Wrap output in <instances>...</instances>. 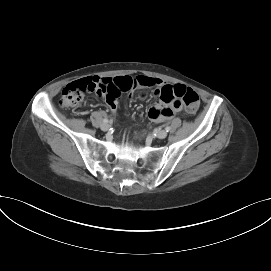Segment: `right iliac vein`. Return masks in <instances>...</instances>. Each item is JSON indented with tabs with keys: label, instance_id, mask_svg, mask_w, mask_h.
I'll use <instances>...</instances> for the list:
<instances>
[{
	"label": "right iliac vein",
	"instance_id": "obj_1",
	"mask_svg": "<svg viewBox=\"0 0 271 271\" xmlns=\"http://www.w3.org/2000/svg\"><path fill=\"white\" fill-rule=\"evenodd\" d=\"M109 128H110V126L107 123H104V124L101 125V130H103V131H108Z\"/></svg>",
	"mask_w": 271,
	"mask_h": 271
}]
</instances>
